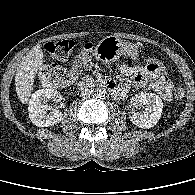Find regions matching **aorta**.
Returning a JSON list of instances; mask_svg holds the SVG:
<instances>
[{"label":"aorta","instance_id":"1","mask_svg":"<svg viewBox=\"0 0 195 195\" xmlns=\"http://www.w3.org/2000/svg\"><path fill=\"white\" fill-rule=\"evenodd\" d=\"M105 94H106V90L105 89H103V88H97L96 89L95 96L97 98L101 99V98H103L105 96Z\"/></svg>","mask_w":195,"mask_h":195}]
</instances>
